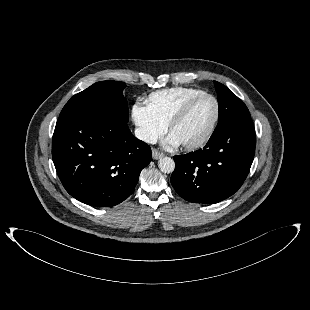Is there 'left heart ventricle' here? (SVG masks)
I'll list each match as a JSON object with an SVG mask.
<instances>
[{"mask_svg": "<svg viewBox=\"0 0 310 310\" xmlns=\"http://www.w3.org/2000/svg\"><path fill=\"white\" fill-rule=\"evenodd\" d=\"M215 114V104L210 98L196 102L187 116L171 132L179 143H189L199 139L208 129Z\"/></svg>", "mask_w": 310, "mask_h": 310, "instance_id": "obj_1", "label": "left heart ventricle"}]
</instances>
